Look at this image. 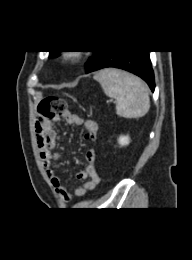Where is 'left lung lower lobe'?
Segmentation results:
<instances>
[{
    "label": "left lung lower lobe",
    "instance_id": "0a47b994",
    "mask_svg": "<svg viewBox=\"0 0 192 260\" xmlns=\"http://www.w3.org/2000/svg\"><path fill=\"white\" fill-rule=\"evenodd\" d=\"M149 51L101 50L95 55L86 73L102 68L115 67L132 72L147 82L154 91V73L151 67Z\"/></svg>",
    "mask_w": 192,
    "mask_h": 260
}]
</instances>
